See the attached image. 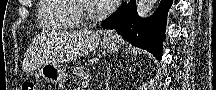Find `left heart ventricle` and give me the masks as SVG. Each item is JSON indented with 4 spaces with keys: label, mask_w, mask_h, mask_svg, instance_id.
<instances>
[{
    "label": "left heart ventricle",
    "mask_w": 216,
    "mask_h": 90,
    "mask_svg": "<svg viewBox=\"0 0 216 90\" xmlns=\"http://www.w3.org/2000/svg\"><path fill=\"white\" fill-rule=\"evenodd\" d=\"M87 5L93 8H96L98 6L96 1H87Z\"/></svg>",
    "instance_id": "1"
}]
</instances>
